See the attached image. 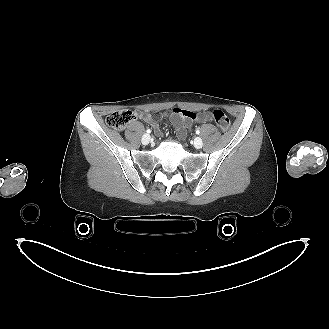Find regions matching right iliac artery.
<instances>
[{
	"label": "right iliac artery",
	"instance_id": "right-iliac-artery-1",
	"mask_svg": "<svg viewBox=\"0 0 329 329\" xmlns=\"http://www.w3.org/2000/svg\"><path fill=\"white\" fill-rule=\"evenodd\" d=\"M146 132H147V133H151V130H150V129H147Z\"/></svg>",
	"mask_w": 329,
	"mask_h": 329
}]
</instances>
